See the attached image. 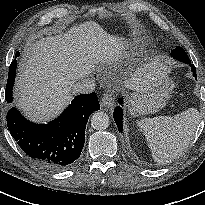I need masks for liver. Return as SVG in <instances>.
Instances as JSON below:
<instances>
[{"mask_svg":"<svg viewBox=\"0 0 205 205\" xmlns=\"http://www.w3.org/2000/svg\"><path fill=\"white\" fill-rule=\"evenodd\" d=\"M123 49L121 39L107 34L96 22L36 40L18 65L16 106L34 122L49 121L71 101L76 81L91 74L99 62L116 61ZM166 70L159 61H152L126 80L125 86L147 90Z\"/></svg>","mask_w":205,"mask_h":205,"instance_id":"obj_1","label":"liver"}]
</instances>
